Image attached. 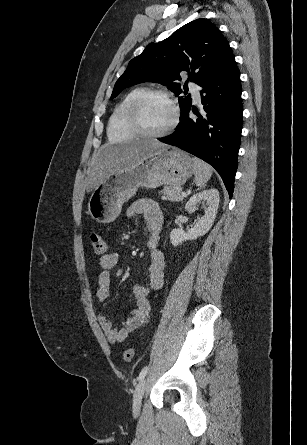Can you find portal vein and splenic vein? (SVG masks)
Segmentation results:
<instances>
[{
	"mask_svg": "<svg viewBox=\"0 0 307 445\" xmlns=\"http://www.w3.org/2000/svg\"><path fill=\"white\" fill-rule=\"evenodd\" d=\"M182 196H187L186 192H183Z\"/></svg>",
	"mask_w": 307,
	"mask_h": 445,
	"instance_id": "1",
	"label": "portal vein and splenic vein"
}]
</instances>
